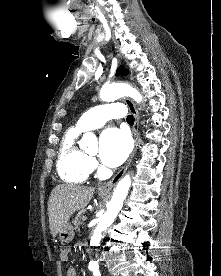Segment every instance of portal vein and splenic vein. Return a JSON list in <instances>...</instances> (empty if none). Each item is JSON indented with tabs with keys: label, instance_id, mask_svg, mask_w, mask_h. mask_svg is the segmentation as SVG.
Returning a JSON list of instances; mask_svg holds the SVG:
<instances>
[{
	"label": "portal vein and splenic vein",
	"instance_id": "1",
	"mask_svg": "<svg viewBox=\"0 0 221 276\" xmlns=\"http://www.w3.org/2000/svg\"><path fill=\"white\" fill-rule=\"evenodd\" d=\"M87 220V217L86 216H83L82 217V221H86Z\"/></svg>",
	"mask_w": 221,
	"mask_h": 276
}]
</instances>
